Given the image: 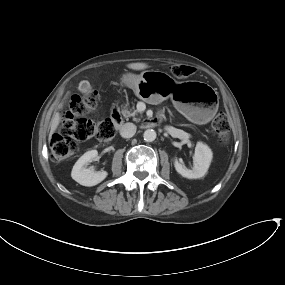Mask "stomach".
I'll list each match as a JSON object with an SVG mask.
<instances>
[{
  "instance_id": "obj_1",
  "label": "stomach",
  "mask_w": 285,
  "mask_h": 285,
  "mask_svg": "<svg viewBox=\"0 0 285 285\" xmlns=\"http://www.w3.org/2000/svg\"><path fill=\"white\" fill-rule=\"evenodd\" d=\"M122 83L131 88L136 96L152 103L154 96L166 87L174 107L188 120L196 124H206L216 114L217 94L213 88L200 81L177 82L168 74L157 70H146L139 75L126 73ZM165 94V93H164Z\"/></svg>"
}]
</instances>
